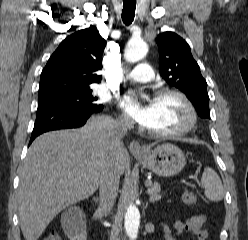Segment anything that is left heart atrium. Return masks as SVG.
Here are the masks:
<instances>
[{
  "label": "left heart atrium",
  "instance_id": "obj_1",
  "mask_svg": "<svg viewBox=\"0 0 248 240\" xmlns=\"http://www.w3.org/2000/svg\"><path fill=\"white\" fill-rule=\"evenodd\" d=\"M122 108L139 125L149 128L155 117L153 102L142 103L134 93H128L121 102Z\"/></svg>",
  "mask_w": 248,
  "mask_h": 240
}]
</instances>
